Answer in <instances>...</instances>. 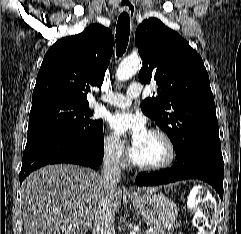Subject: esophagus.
<instances>
[{"instance_id":"esophagus-1","label":"esophagus","mask_w":241,"mask_h":234,"mask_svg":"<svg viewBox=\"0 0 241 234\" xmlns=\"http://www.w3.org/2000/svg\"><path fill=\"white\" fill-rule=\"evenodd\" d=\"M122 3H123V5H122L121 10H125L128 13L129 17L133 18L135 15V11H136L134 0H124ZM128 193L132 194L133 189L129 188Z\"/></svg>"}]
</instances>
